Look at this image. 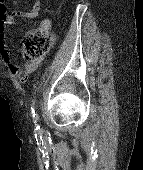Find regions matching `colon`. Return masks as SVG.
<instances>
[{
  "label": "colon",
  "instance_id": "obj_1",
  "mask_svg": "<svg viewBox=\"0 0 143 170\" xmlns=\"http://www.w3.org/2000/svg\"><path fill=\"white\" fill-rule=\"evenodd\" d=\"M8 0H0V21L8 17ZM53 44V35L45 30L28 32L22 44V55L27 60H36L44 57Z\"/></svg>",
  "mask_w": 143,
  "mask_h": 170
}]
</instances>
